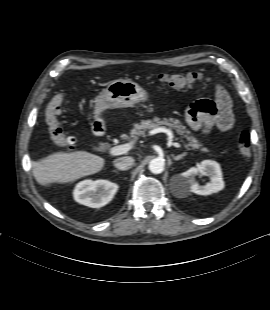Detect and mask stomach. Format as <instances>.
<instances>
[{"label":"stomach","instance_id":"0dacf381","mask_svg":"<svg viewBox=\"0 0 270 310\" xmlns=\"http://www.w3.org/2000/svg\"><path fill=\"white\" fill-rule=\"evenodd\" d=\"M148 98L146 90L129 79L112 81L95 100L94 124H101L100 114L108 108L131 107Z\"/></svg>","mask_w":270,"mask_h":310}]
</instances>
